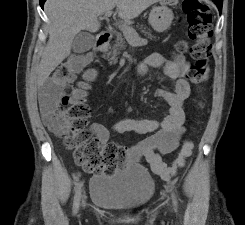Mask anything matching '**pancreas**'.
I'll use <instances>...</instances> for the list:
<instances>
[{
	"instance_id": "pancreas-1",
	"label": "pancreas",
	"mask_w": 245,
	"mask_h": 225,
	"mask_svg": "<svg viewBox=\"0 0 245 225\" xmlns=\"http://www.w3.org/2000/svg\"><path fill=\"white\" fill-rule=\"evenodd\" d=\"M146 35L149 38H152L153 36L146 32ZM126 48L125 40L121 34H117V38L115 40V43L113 44L112 47H110V51L107 53V58L112 62V63H117L118 60V55L120 54L121 50H124Z\"/></svg>"
}]
</instances>
